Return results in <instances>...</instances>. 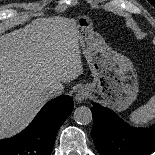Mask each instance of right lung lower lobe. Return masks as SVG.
Segmentation results:
<instances>
[{
  "mask_svg": "<svg viewBox=\"0 0 155 155\" xmlns=\"http://www.w3.org/2000/svg\"><path fill=\"white\" fill-rule=\"evenodd\" d=\"M69 96L49 101L18 135L0 140V155H50L58 129L73 110Z\"/></svg>",
  "mask_w": 155,
  "mask_h": 155,
  "instance_id": "98d812e1",
  "label": "right lung lower lobe"
}]
</instances>
